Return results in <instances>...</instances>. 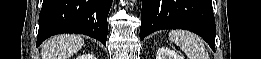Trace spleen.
<instances>
[{
    "mask_svg": "<svg viewBox=\"0 0 261 59\" xmlns=\"http://www.w3.org/2000/svg\"><path fill=\"white\" fill-rule=\"evenodd\" d=\"M169 39L179 46L189 59H208L204 43L196 34L185 30H172Z\"/></svg>",
    "mask_w": 261,
    "mask_h": 59,
    "instance_id": "1",
    "label": "spleen"
}]
</instances>
